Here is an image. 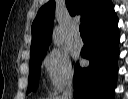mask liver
Instances as JSON below:
<instances>
[{
  "label": "liver",
  "instance_id": "obj_1",
  "mask_svg": "<svg viewBox=\"0 0 128 99\" xmlns=\"http://www.w3.org/2000/svg\"><path fill=\"white\" fill-rule=\"evenodd\" d=\"M55 99H62L61 97H57V98H55Z\"/></svg>",
  "mask_w": 128,
  "mask_h": 99
}]
</instances>
